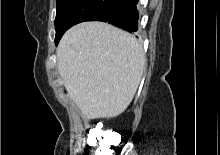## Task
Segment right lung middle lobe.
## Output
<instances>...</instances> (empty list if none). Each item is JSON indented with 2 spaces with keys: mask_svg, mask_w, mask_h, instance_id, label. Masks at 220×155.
<instances>
[{
  "mask_svg": "<svg viewBox=\"0 0 220 155\" xmlns=\"http://www.w3.org/2000/svg\"><path fill=\"white\" fill-rule=\"evenodd\" d=\"M122 0H57L55 18L56 36L58 44L62 35L71 26L87 21L93 15L104 11Z\"/></svg>",
  "mask_w": 220,
  "mask_h": 155,
  "instance_id": "1",
  "label": "right lung middle lobe"
}]
</instances>
